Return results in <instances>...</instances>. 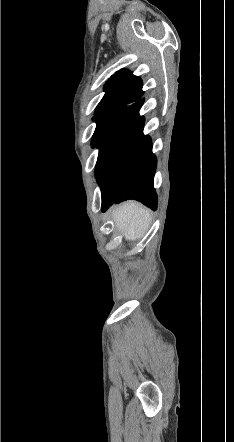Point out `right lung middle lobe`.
Masks as SVG:
<instances>
[{"mask_svg": "<svg viewBox=\"0 0 234 442\" xmlns=\"http://www.w3.org/2000/svg\"><path fill=\"white\" fill-rule=\"evenodd\" d=\"M116 116L117 115H104L93 118V120L97 123V126L92 137V147L98 145L105 132L115 120Z\"/></svg>", "mask_w": 234, "mask_h": 442, "instance_id": "1", "label": "right lung middle lobe"}]
</instances>
